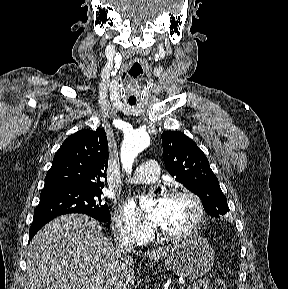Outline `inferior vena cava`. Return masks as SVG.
I'll use <instances>...</instances> for the list:
<instances>
[{
  "label": "inferior vena cava",
  "instance_id": "1",
  "mask_svg": "<svg viewBox=\"0 0 288 289\" xmlns=\"http://www.w3.org/2000/svg\"><path fill=\"white\" fill-rule=\"evenodd\" d=\"M116 250L121 254L130 253L133 250L131 238L127 235L125 238L119 236L115 240Z\"/></svg>",
  "mask_w": 288,
  "mask_h": 289
}]
</instances>
